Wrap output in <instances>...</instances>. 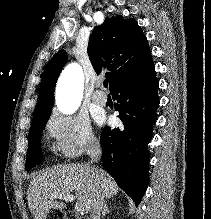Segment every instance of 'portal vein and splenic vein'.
<instances>
[{
  "label": "portal vein and splenic vein",
  "mask_w": 211,
  "mask_h": 219,
  "mask_svg": "<svg viewBox=\"0 0 211 219\" xmlns=\"http://www.w3.org/2000/svg\"><path fill=\"white\" fill-rule=\"evenodd\" d=\"M51 198H57V199H63L69 202L74 201L75 197L72 194H66V193H55L51 195ZM75 210L77 212L82 211V206L79 203L75 204Z\"/></svg>",
  "instance_id": "portal-vein-and-splenic-vein-1"
}]
</instances>
